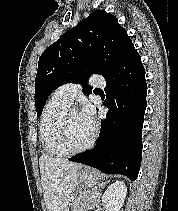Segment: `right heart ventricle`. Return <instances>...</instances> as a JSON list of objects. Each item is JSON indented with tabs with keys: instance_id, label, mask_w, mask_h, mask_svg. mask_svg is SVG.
Wrapping results in <instances>:
<instances>
[{
	"instance_id": "obj_1",
	"label": "right heart ventricle",
	"mask_w": 178,
	"mask_h": 211,
	"mask_svg": "<svg viewBox=\"0 0 178 211\" xmlns=\"http://www.w3.org/2000/svg\"><path fill=\"white\" fill-rule=\"evenodd\" d=\"M69 104L52 94L42 114L40 123L41 143L48 155H65L58 144V136L63 114L68 110Z\"/></svg>"
}]
</instances>
